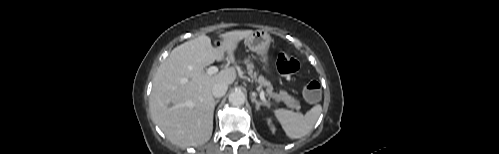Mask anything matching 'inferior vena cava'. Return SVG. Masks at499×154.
<instances>
[{
	"mask_svg": "<svg viewBox=\"0 0 499 154\" xmlns=\"http://www.w3.org/2000/svg\"><path fill=\"white\" fill-rule=\"evenodd\" d=\"M228 85L226 83H217L212 88V94L216 98L224 96L227 92Z\"/></svg>",
	"mask_w": 499,
	"mask_h": 154,
	"instance_id": "inferior-vena-cava-1",
	"label": "inferior vena cava"
}]
</instances>
